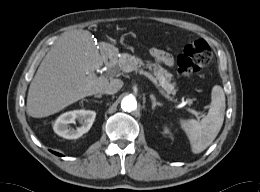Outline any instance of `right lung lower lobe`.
I'll return each mask as SVG.
<instances>
[{"mask_svg": "<svg viewBox=\"0 0 260 192\" xmlns=\"http://www.w3.org/2000/svg\"><path fill=\"white\" fill-rule=\"evenodd\" d=\"M53 152V151H52ZM54 154L58 155V156H62V154H59L57 152H53Z\"/></svg>", "mask_w": 260, "mask_h": 192, "instance_id": "obj_1", "label": "right lung lower lobe"}]
</instances>
